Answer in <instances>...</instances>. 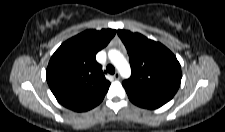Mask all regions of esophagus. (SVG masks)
Instances as JSON below:
<instances>
[{
	"instance_id": "obj_1",
	"label": "esophagus",
	"mask_w": 225,
	"mask_h": 132,
	"mask_svg": "<svg viewBox=\"0 0 225 132\" xmlns=\"http://www.w3.org/2000/svg\"><path fill=\"white\" fill-rule=\"evenodd\" d=\"M113 77H114L115 80H119L120 74L118 72H116Z\"/></svg>"
}]
</instances>
